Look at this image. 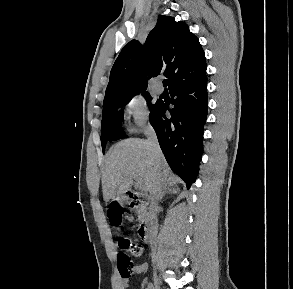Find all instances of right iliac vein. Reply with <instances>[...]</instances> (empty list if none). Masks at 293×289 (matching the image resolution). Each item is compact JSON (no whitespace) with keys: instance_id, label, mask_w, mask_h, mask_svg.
<instances>
[{"instance_id":"obj_1","label":"right iliac vein","mask_w":293,"mask_h":289,"mask_svg":"<svg viewBox=\"0 0 293 289\" xmlns=\"http://www.w3.org/2000/svg\"><path fill=\"white\" fill-rule=\"evenodd\" d=\"M154 289H161L156 275H154Z\"/></svg>"}]
</instances>
